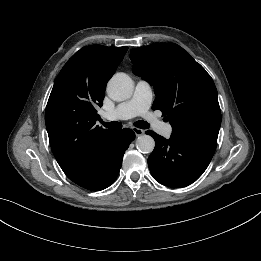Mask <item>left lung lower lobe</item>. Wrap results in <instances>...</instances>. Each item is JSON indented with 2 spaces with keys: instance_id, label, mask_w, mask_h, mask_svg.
I'll return each instance as SVG.
<instances>
[{
  "instance_id": "1",
  "label": "left lung lower lobe",
  "mask_w": 261,
  "mask_h": 261,
  "mask_svg": "<svg viewBox=\"0 0 261 261\" xmlns=\"http://www.w3.org/2000/svg\"><path fill=\"white\" fill-rule=\"evenodd\" d=\"M146 133L155 140V148L147 160L152 176L159 183L174 188L196 181L209 165L217 145L173 134L167 140L150 130Z\"/></svg>"
}]
</instances>
